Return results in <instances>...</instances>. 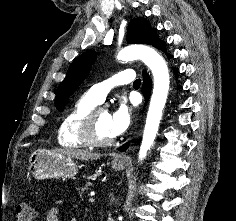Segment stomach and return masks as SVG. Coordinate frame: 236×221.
<instances>
[{
	"mask_svg": "<svg viewBox=\"0 0 236 221\" xmlns=\"http://www.w3.org/2000/svg\"><path fill=\"white\" fill-rule=\"evenodd\" d=\"M112 168L116 171L123 170V163L112 162ZM27 169L38 180L47 178H70L77 174V163L70 156L53 153L46 150H38L31 154Z\"/></svg>",
	"mask_w": 236,
	"mask_h": 221,
	"instance_id": "obj_1",
	"label": "stomach"
}]
</instances>
